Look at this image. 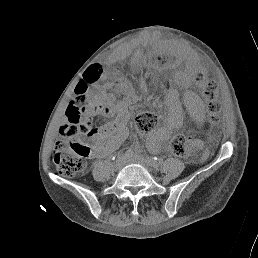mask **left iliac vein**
I'll return each mask as SVG.
<instances>
[{
  "instance_id": "left-iliac-vein-1",
  "label": "left iliac vein",
  "mask_w": 258,
  "mask_h": 258,
  "mask_svg": "<svg viewBox=\"0 0 258 258\" xmlns=\"http://www.w3.org/2000/svg\"><path fill=\"white\" fill-rule=\"evenodd\" d=\"M134 161L137 162V163H139V164H141V165L144 166V167H147V168H148V166H149V163H148L145 159H143L142 157H140V156H137Z\"/></svg>"
}]
</instances>
